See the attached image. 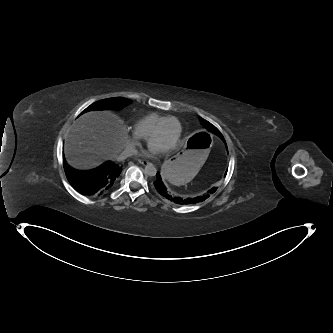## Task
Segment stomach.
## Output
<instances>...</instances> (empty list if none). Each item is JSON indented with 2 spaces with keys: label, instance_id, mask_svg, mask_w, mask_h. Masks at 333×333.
Returning <instances> with one entry per match:
<instances>
[{
  "label": "stomach",
  "instance_id": "1",
  "mask_svg": "<svg viewBox=\"0 0 333 333\" xmlns=\"http://www.w3.org/2000/svg\"><path fill=\"white\" fill-rule=\"evenodd\" d=\"M213 141L211 134L197 131L185 139L176 155L163 162L159 168V177L167 185L178 186L191 181L197 169L208 156Z\"/></svg>",
  "mask_w": 333,
  "mask_h": 333
}]
</instances>
